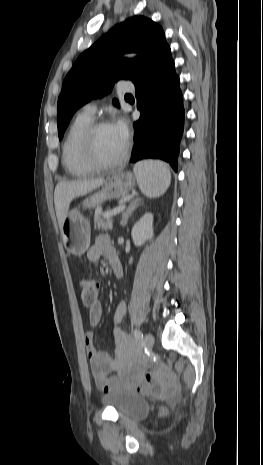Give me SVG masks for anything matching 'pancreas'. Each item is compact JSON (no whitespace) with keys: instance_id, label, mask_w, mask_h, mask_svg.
Listing matches in <instances>:
<instances>
[{"instance_id":"obj_1","label":"pancreas","mask_w":263,"mask_h":465,"mask_svg":"<svg viewBox=\"0 0 263 465\" xmlns=\"http://www.w3.org/2000/svg\"><path fill=\"white\" fill-rule=\"evenodd\" d=\"M95 227L104 231L111 230L113 227V221L111 218H103V213L97 210L94 215Z\"/></svg>"}]
</instances>
